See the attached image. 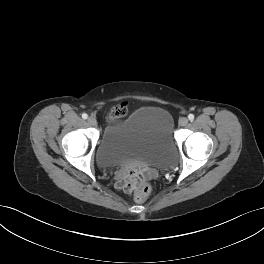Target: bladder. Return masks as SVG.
I'll use <instances>...</instances> for the list:
<instances>
[{
	"instance_id": "bladder-1",
	"label": "bladder",
	"mask_w": 264,
	"mask_h": 264,
	"mask_svg": "<svg viewBox=\"0 0 264 264\" xmlns=\"http://www.w3.org/2000/svg\"><path fill=\"white\" fill-rule=\"evenodd\" d=\"M171 127L170 116L165 110L139 108L107 129L96 152L97 162L108 170L134 163L166 166L174 157Z\"/></svg>"
}]
</instances>
